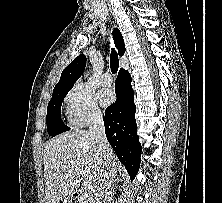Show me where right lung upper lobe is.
<instances>
[{
    "label": "right lung upper lobe",
    "mask_w": 222,
    "mask_h": 203,
    "mask_svg": "<svg viewBox=\"0 0 222 203\" xmlns=\"http://www.w3.org/2000/svg\"><path fill=\"white\" fill-rule=\"evenodd\" d=\"M114 40L118 49L119 55L122 56L125 52L123 37L118 29H114ZM86 66V57L84 54L75 58L61 73L59 82L54 87V91L71 89L77 79L81 76Z\"/></svg>",
    "instance_id": "right-lung-upper-lobe-1"
}]
</instances>
